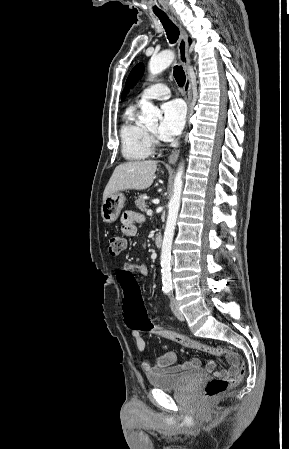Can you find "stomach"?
Here are the masks:
<instances>
[{
    "label": "stomach",
    "instance_id": "1",
    "mask_svg": "<svg viewBox=\"0 0 289 449\" xmlns=\"http://www.w3.org/2000/svg\"><path fill=\"white\" fill-rule=\"evenodd\" d=\"M125 196L121 192L111 194L103 201L101 216L106 223L114 222L124 206Z\"/></svg>",
    "mask_w": 289,
    "mask_h": 449
}]
</instances>
